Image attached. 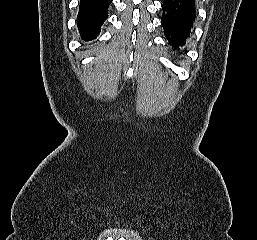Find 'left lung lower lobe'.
I'll list each match as a JSON object with an SVG mask.
<instances>
[{"label":"left lung lower lobe","instance_id":"1","mask_svg":"<svg viewBox=\"0 0 257 240\" xmlns=\"http://www.w3.org/2000/svg\"><path fill=\"white\" fill-rule=\"evenodd\" d=\"M161 23L169 45L183 46L196 16L195 0H163Z\"/></svg>","mask_w":257,"mask_h":240}]
</instances>
